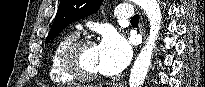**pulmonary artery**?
I'll list each match as a JSON object with an SVG mask.
<instances>
[{
	"label": "pulmonary artery",
	"mask_w": 205,
	"mask_h": 87,
	"mask_svg": "<svg viewBox=\"0 0 205 87\" xmlns=\"http://www.w3.org/2000/svg\"><path fill=\"white\" fill-rule=\"evenodd\" d=\"M115 17L117 19H129L133 18L134 16V10L133 6L131 4H123L118 6V8L115 10ZM78 29H81L80 26H78Z\"/></svg>",
	"instance_id": "obj_1"
}]
</instances>
